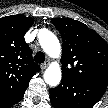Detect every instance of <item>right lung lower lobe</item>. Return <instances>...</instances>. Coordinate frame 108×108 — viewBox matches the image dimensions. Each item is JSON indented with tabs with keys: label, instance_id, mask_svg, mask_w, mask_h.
<instances>
[{
	"label": "right lung lower lobe",
	"instance_id": "obj_1",
	"mask_svg": "<svg viewBox=\"0 0 108 108\" xmlns=\"http://www.w3.org/2000/svg\"><path fill=\"white\" fill-rule=\"evenodd\" d=\"M24 93H25V91L20 96H18L17 98H14V99L8 100L6 102L0 103V106L1 107H5V108L13 106L14 104H16L17 102H19L23 98Z\"/></svg>",
	"mask_w": 108,
	"mask_h": 108
}]
</instances>
